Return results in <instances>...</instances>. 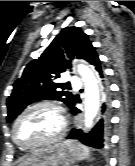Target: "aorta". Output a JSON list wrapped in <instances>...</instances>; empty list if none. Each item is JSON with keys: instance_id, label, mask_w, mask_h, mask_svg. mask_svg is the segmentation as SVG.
<instances>
[{"instance_id": "1", "label": "aorta", "mask_w": 135, "mask_h": 166, "mask_svg": "<svg viewBox=\"0 0 135 166\" xmlns=\"http://www.w3.org/2000/svg\"><path fill=\"white\" fill-rule=\"evenodd\" d=\"M78 72L85 84V126L90 128L99 109L100 94L98 81L93 71L85 65H79Z\"/></svg>"}]
</instances>
